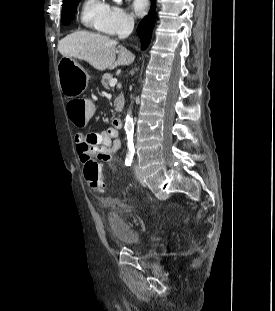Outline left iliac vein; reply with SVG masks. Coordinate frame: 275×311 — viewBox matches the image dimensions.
I'll return each mask as SVG.
<instances>
[{
    "instance_id": "4c4485c4",
    "label": "left iliac vein",
    "mask_w": 275,
    "mask_h": 311,
    "mask_svg": "<svg viewBox=\"0 0 275 311\" xmlns=\"http://www.w3.org/2000/svg\"><path fill=\"white\" fill-rule=\"evenodd\" d=\"M134 171H135V175H136V178L137 180L144 185V179H143V176L141 174V170L139 168V166L137 164L134 165Z\"/></svg>"
}]
</instances>
